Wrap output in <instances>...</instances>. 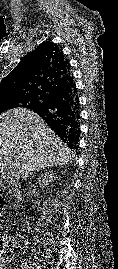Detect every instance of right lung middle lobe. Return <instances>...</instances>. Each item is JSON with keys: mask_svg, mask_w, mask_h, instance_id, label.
<instances>
[{"mask_svg": "<svg viewBox=\"0 0 118 269\" xmlns=\"http://www.w3.org/2000/svg\"><path fill=\"white\" fill-rule=\"evenodd\" d=\"M37 105L36 100L30 97L14 98V99H1L0 100V114L8 109L16 107L30 108Z\"/></svg>", "mask_w": 118, "mask_h": 269, "instance_id": "obj_1", "label": "right lung middle lobe"}]
</instances>
